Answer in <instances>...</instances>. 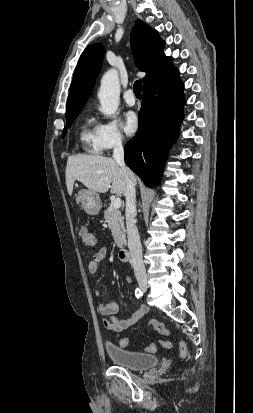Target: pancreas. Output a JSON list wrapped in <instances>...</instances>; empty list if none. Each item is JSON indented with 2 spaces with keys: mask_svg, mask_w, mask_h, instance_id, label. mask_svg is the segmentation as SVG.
Wrapping results in <instances>:
<instances>
[{
  "mask_svg": "<svg viewBox=\"0 0 253 413\" xmlns=\"http://www.w3.org/2000/svg\"><path fill=\"white\" fill-rule=\"evenodd\" d=\"M105 221L108 223L116 245L121 248L125 245V226L121 212L112 205L104 212Z\"/></svg>",
  "mask_w": 253,
  "mask_h": 413,
  "instance_id": "cf45deb5",
  "label": "pancreas"
}]
</instances>
